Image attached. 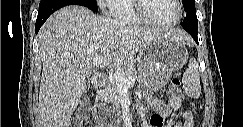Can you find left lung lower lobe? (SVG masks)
Listing matches in <instances>:
<instances>
[{
	"label": "left lung lower lobe",
	"mask_w": 243,
	"mask_h": 127,
	"mask_svg": "<svg viewBox=\"0 0 243 127\" xmlns=\"http://www.w3.org/2000/svg\"><path fill=\"white\" fill-rule=\"evenodd\" d=\"M182 27L193 37L198 44V21L197 16H186L182 22Z\"/></svg>",
	"instance_id": "left-lung-lower-lobe-1"
}]
</instances>
